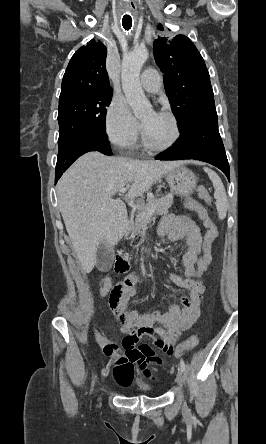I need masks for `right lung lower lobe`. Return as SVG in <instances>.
<instances>
[{"mask_svg":"<svg viewBox=\"0 0 266 444\" xmlns=\"http://www.w3.org/2000/svg\"><path fill=\"white\" fill-rule=\"evenodd\" d=\"M90 151L112 155L107 136L94 134L83 137L69 146L63 153L58 154L55 183L77 158Z\"/></svg>","mask_w":266,"mask_h":444,"instance_id":"98d812e1","label":"right lung lower lobe"}]
</instances>
